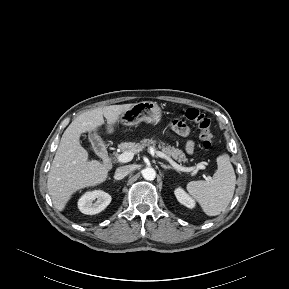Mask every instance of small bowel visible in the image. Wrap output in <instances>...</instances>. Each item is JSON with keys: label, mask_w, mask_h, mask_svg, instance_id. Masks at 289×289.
I'll use <instances>...</instances> for the list:
<instances>
[{"label": "small bowel", "mask_w": 289, "mask_h": 289, "mask_svg": "<svg viewBox=\"0 0 289 289\" xmlns=\"http://www.w3.org/2000/svg\"><path fill=\"white\" fill-rule=\"evenodd\" d=\"M172 127L174 129V131L181 135V136H186L188 135V128L185 124H183L182 122H179V121H174L173 124H172ZM186 150L188 153H192L193 150H194V143L192 141H188L187 144H186Z\"/></svg>", "instance_id": "small-bowel-1"}]
</instances>
